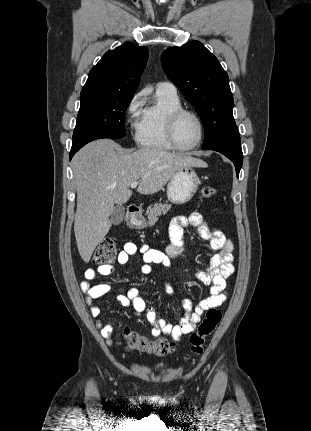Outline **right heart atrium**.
Segmentation results:
<instances>
[{
	"instance_id": "d8ad5b80",
	"label": "right heart atrium",
	"mask_w": 311,
	"mask_h": 431,
	"mask_svg": "<svg viewBox=\"0 0 311 431\" xmlns=\"http://www.w3.org/2000/svg\"><path fill=\"white\" fill-rule=\"evenodd\" d=\"M145 102V93L143 91L135 93L128 101L125 108L127 123L131 128H135L142 115V107Z\"/></svg>"
}]
</instances>
